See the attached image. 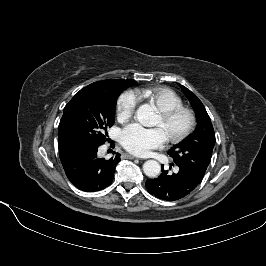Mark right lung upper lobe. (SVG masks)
<instances>
[{"instance_id": "cb5924a9", "label": "right lung upper lobe", "mask_w": 266, "mask_h": 266, "mask_svg": "<svg viewBox=\"0 0 266 266\" xmlns=\"http://www.w3.org/2000/svg\"><path fill=\"white\" fill-rule=\"evenodd\" d=\"M114 80V79H113ZM113 80H103V81H98V82H95V83H92L94 85H98V86H105L107 85L108 83L112 82Z\"/></svg>"}]
</instances>
